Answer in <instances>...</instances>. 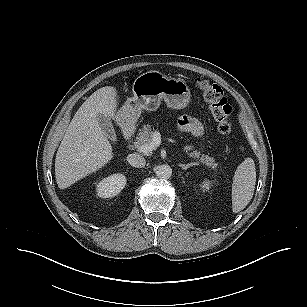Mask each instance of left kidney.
I'll return each instance as SVG.
<instances>
[{"mask_svg":"<svg viewBox=\"0 0 307 307\" xmlns=\"http://www.w3.org/2000/svg\"><path fill=\"white\" fill-rule=\"evenodd\" d=\"M210 186H211V182L210 181H204L202 182V184H200V188L203 192H207L209 189H210Z\"/></svg>","mask_w":307,"mask_h":307,"instance_id":"1","label":"left kidney"}]
</instances>
